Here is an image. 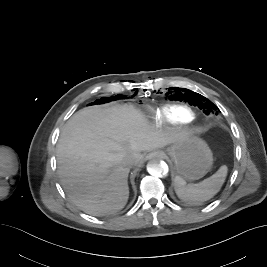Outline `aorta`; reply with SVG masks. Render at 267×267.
Segmentation results:
<instances>
[{
    "mask_svg": "<svg viewBox=\"0 0 267 267\" xmlns=\"http://www.w3.org/2000/svg\"><path fill=\"white\" fill-rule=\"evenodd\" d=\"M168 165L160 159H153L147 164V171L154 177H162L168 173Z\"/></svg>",
    "mask_w": 267,
    "mask_h": 267,
    "instance_id": "1",
    "label": "aorta"
}]
</instances>
